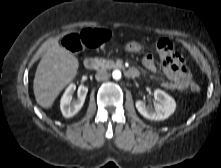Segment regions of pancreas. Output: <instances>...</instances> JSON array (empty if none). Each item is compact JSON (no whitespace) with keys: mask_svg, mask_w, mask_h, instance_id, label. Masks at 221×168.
<instances>
[{"mask_svg":"<svg viewBox=\"0 0 221 168\" xmlns=\"http://www.w3.org/2000/svg\"><path fill=\"white\" fill-rule=\"evenodd\" d=\"M94 62L97 66V69L101 70H107L117 67L116 63L113 60H107L104 58L103 59L95 58Z\"/></svg>","mask_w":221,"mask_h":168,"instance_id":"cf45deb5","label":"pancreas"}]
</instances>
